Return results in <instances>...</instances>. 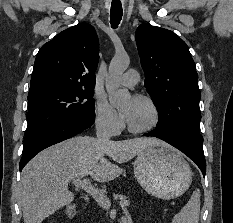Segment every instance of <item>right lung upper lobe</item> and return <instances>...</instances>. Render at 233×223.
Wrapping results in <instances>:
<instances>
[{
	"label": "right lung upper lobe",
	"instance_id": "1",
	"mask_svg": "<svg viewBox=\"0 0 233 223\" xmlns=\"http://www.w3.org/2000/svg\"><path fill=\"white\" fill-rule=\"evenodd\" d=\"M98 60L99 42L94 27H70L39 50L29 94L52 88H94Z\"/></svg>",
	"mask_w": 233,
	"mask_h": 223
}]
</instances>
